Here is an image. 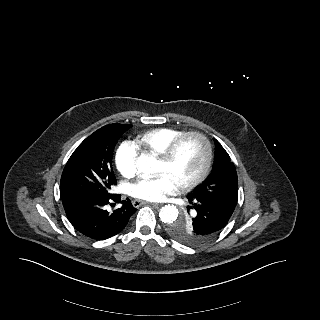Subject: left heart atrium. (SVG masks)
Here are the masks:
<instances>
[{
	"instance_id": "39dd6f15",
	"label": "left heart atrium",
	"mask_w": 320,
	"mask_h": 320,
	"mask_svg": "<svg viewBox=\"0 0 320 320\" xmlns=\"http://www.w3.org/2000/svg\"><path fill=\"white\" fill-rule=\"evenodd\" d=\"M130 194L134 198L146 201H159L167 194L177 191L175 183L165 174L154 178L141 177L130 185Z\"/></svg>"
}]
</instances>
